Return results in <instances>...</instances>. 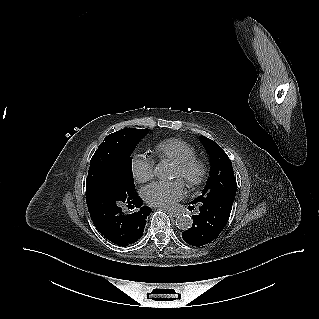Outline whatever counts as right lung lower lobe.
I'll return each mask as SVG.
<instances>
[{
    "label": "right lung lower lobe",
    "instance_id": "right-lung-lower-lobe-1",
    "mask_svg": "<svg viewBox=\"0 0 319 319\" xmlns=\"http://www.w3.org/2000/svg\"><path fill=\"white\" fill-rule=\"evenodd\" d=\"M117 186L104 184L86 189V202L96 229L112 243L124 247L143 236L151 208L143 206L142 199L134 191L127 194ZM123 205L137 208V212L123 213Z\"/></svg>",
    "mask_w": 319,
    "mask_h": 319
}]
</instances>
